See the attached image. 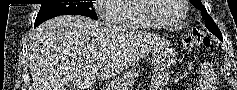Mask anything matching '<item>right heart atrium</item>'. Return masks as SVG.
I'll list each match as a JSON object with an SVG mask.
<instances>
[{
	"label": "right heart atrium",
	"instance_id": "d8ad5b80",
	"mask_svg": "<svg viewBox=\"0 0 237 90\" xmlns=\"http://www.w3.org/2000/svg\"><path fill=\"white\" fill-rule=\"evenodd\" d=\"M118 0H98V2H96V5L97 6H108L109 3H117ZM99 16L102 18V19H106L107 18V15L105 12L103 11H99Z\"/></svg>",
	"mask_w": 237,
	"mask_h": 90
}]
</instances>
